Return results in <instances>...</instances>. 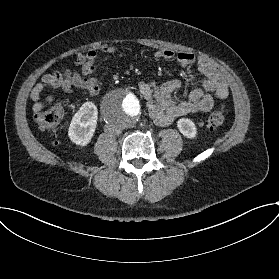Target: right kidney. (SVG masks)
I'll return each mask as SVG.
<instances>
[{"label":"right kidney","mask_w":279,"mask_h":279,"mask_svg":"<svg viewBox=\"0 0 279 279\" xmlns=\"http://www.w3.org/2000/svg\"><path fill=\"white\" fill-rule=\"evenodd\" d=\"M98 123V108L92 101L84 102L74 114L68 127V137L80 147L89 145Z\"/></svg>","instance_id":"ca27d5eb"}]
</instances>
